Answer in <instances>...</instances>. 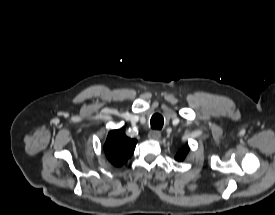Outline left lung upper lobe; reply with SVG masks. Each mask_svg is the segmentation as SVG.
<instances>
[{
  "mask_svg": "<svg viewBox=\"0 0 275 215\" xmlns=\"http://www.w3.org/2000/svg\"><path fill=\"white\" fill-rule=\"evenodd\" d=\"M188 152H189V148H184V149L179 150L178 153L176 154L175 159L178 161H182Z\"/></svg>",
  "mask_w": 275,
  "mask_h": 215,
  "instance_id": "left-lung-upper-lobe-1",
  "label": "left lung upper lobe"
}]
</instances>
